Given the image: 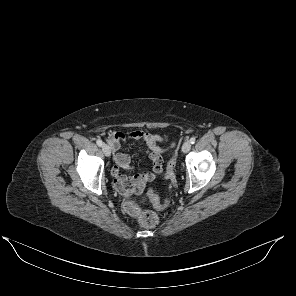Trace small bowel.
I'll use <instances>...</instances> for the list:
<instances>
[{"mask_svg":"<svg viewBox=\"0 0 296 296\" xmlns=\"http://www.w3.org/2000/svg\"><path fill=\"white\" fill-rule=\"evenodd\" d=\"M107 142L114 154L115 166L112 169L114 187L125 196H132L143 191L146 182L155 178L162 170V153L164 150L159 143L163 137L147 131L135 130L130 132L111 131L107 134ZM138 140L145 144V154L153 164L152 173H140L131 176L124 175L122 170L131 166L130 157L120 151L121 143L127 140Z\"/></svg>","mask_w":296,"mask_h":296,"instance_id":"c3829d8e","label":"small bowel"}]
</instances>
